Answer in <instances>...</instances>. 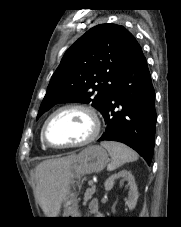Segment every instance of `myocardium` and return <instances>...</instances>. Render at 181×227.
I'll return each instance as SVG.
<instances>
[{"label": "myocardium", "instance_id": "f54148a6", "mask_svg": "<svg viewBox=\"0 0 181 227\" xmlns=\"http://www.w3.org/2000/svg\"><path fill=\"white\" fill-rule=\"evenodd\" d=\"M79 110L82 111L84 113H86L88 115V117L90 118L91 121V131L89 133V135L87 137H85L84 139L80 140V141H76V142H72V143H68V144H55L53 142H51L48 138V127L49 124L51 122V120L60 112L65 111V110ZM101 130V121L100 118L98 116V114L96 113V111L87 105L84 104H80V103H68L65 105H62L60 107H58L56 110H54L45 120L43 127H42V131H41V137L43 142L51 148L54 149H64V148H73V147H81V146H85L91 142H93L97 136L99 135Z\"/></svg>", "mask_w": 181, "mask_h": 227}]
</instances>
